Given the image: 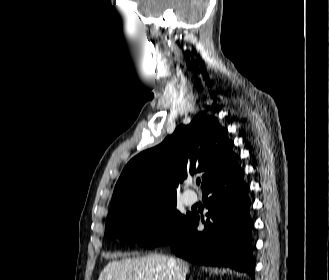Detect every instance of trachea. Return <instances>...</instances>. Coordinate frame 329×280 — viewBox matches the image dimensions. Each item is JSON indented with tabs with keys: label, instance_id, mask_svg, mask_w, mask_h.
<instances>
[{
	"label": "trachea",
	"instance_id": "3493384b",
	"mask_svg": "<svg viewBox=\"0 0 329 280\" xmlns=\"http://www.w3.org/2000/svg\"><path fill=\"white\" fill-rule=\"evenodd\" d=\"M196 183H197V185H199L200 184V179H197Z\"/></svg>",
	"mask_w": 329,
	"mask_h": 280
}]
</instances>
